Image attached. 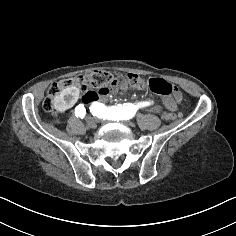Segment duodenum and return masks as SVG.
Instances as JSON below:
<instances>
[{"mask_svg":"<svg viewBox=\"0 0 236 236\" xmlns=\"http://www.w3.org/2000/svg\"><path fill=\"white\" fill-rule=\"evenodd\" d=\"M100 99H101V101L105 102L107 100V97L106 96H102Z\"/></svg>","mask_w":236,"mask_h":236,"instance_id":"obj_1","label":"duodenum"}]
</instances>
